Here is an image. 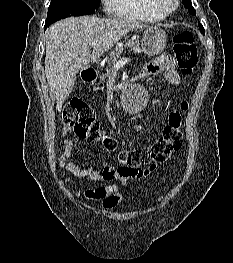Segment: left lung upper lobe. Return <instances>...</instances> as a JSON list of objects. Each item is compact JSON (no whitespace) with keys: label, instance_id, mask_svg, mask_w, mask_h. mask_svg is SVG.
<instances>
[{"label":"left lung upper lobe","instance_id":"left-lung-upper-lobe-1","mask_svg":"<svg viewBox=\"0 0 233 263\" xmlns=\"http://www.w3.org/2000/svg\"><path fill=\"white\" fill-rule=\"evenodd\" d=\"M183 2H184L185 7L189 9L190 13H191L192 15H196V11H195V9L192 7L191 1H190V0H183ZM198 25H199L200 31H201L202 33H204V28H203V26L201 25L200 22H198Z\"/></svg>","mask_w":233,"mask_h":263}]
</instances>
